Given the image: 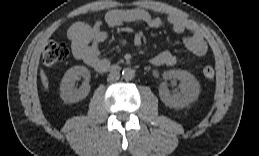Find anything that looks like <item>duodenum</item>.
<instances>
[{
	"label": "duodenum",
	"mask_w": 259,
	"mask_h": 156,
	"mask_svg": "<svg viewBox=\"0 0 259 156\" xmlns=\"http://www.w3.org/2000/svg\"><path fill=\"white\" fill-rule=\"evenodd\" d=\"M108 69H114L113 67H107L105 70H108Z\"/></svg>",
	"instance_id": "1"
}]
</instances>
